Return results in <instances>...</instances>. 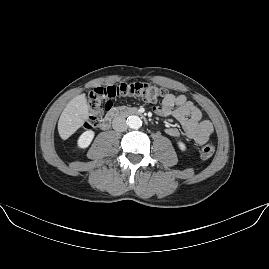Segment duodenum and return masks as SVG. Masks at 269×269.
Returning a JSON list of instances; mask_svg holds the SVG:
<instances>
[{"label": "duodenum", "mask_w": 269, "mask_h": 269, "mask_svg": "<svg viewBox=\"0 0 269 269\" xmlns=\"http://www.w3.org/2000/svg\"><path fill=\"white\" fill-rule=\"evenodd\" d=\"M133 115H142V113L134 107H114L101 121V128L104 130L109 129L114 119Z\"/></svg>", "instance_id": "obj_1"}]
</instances>
